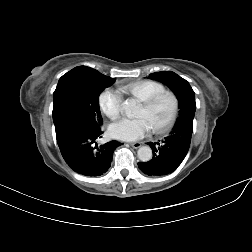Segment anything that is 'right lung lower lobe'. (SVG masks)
<instances>
[{"mask_svg": "<svg viewBox=\"0 0 252 252\" xmlns=\"http://www.w3.org/2000/svg\"><path fill=\"white\" fill-rule=\"evenodd\" d=\"M55 130L64 160L72 170L84 176L98 177L104 174L111 165L114 150L122 145L115 140L102 145L95 143L102 134L99 127L69 123Z\"/></svg>", "mask_w": 252, "mask_h": 252, "instance_id": "obj_1", "label": "right lung lower lobe"}]
</instances>
